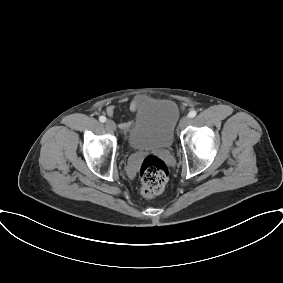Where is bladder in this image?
I'll return each instance as SVG.
<instances>
[{
    "instance_id": "bladder-1",
    "label": "bladder",
    "mask_w": 283,
    "mask_h": 283,
    "mask_svg": "<svg viewBox=\"0 0 283 283\" xmlns=\"http://www.w3.org/2000/svg\"><path fill=\"white\" fill-rule=\"evenodd\" d=\"M179 118V108L173 100L149 101L138 109L128 145L136 150L170 148Z\"/></svg>"
}]
</instances>
